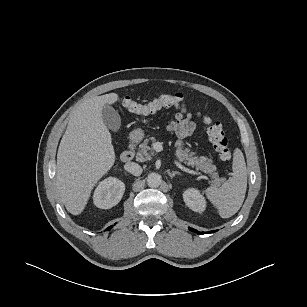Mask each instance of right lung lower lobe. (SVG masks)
I'll use <instances>...</instances> for the list:
<instances>
[{"label": "right lung lower lobe", "mask_w": 307, "mask_h": 307, "mask_svg": "<svg viewBox=\"0 0 307 307\" xmlns=\"http://www.w3.org/2000/svg\"><path fill=\"white\" fill-rule=\"evenodd\" d=\"M112 228V226L108 227L106 230H110Z\"/></svg>", "instance_id": "right-lung-lower-lobe-1"}]
</instances>
